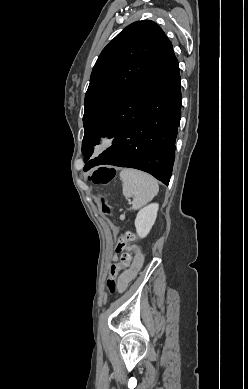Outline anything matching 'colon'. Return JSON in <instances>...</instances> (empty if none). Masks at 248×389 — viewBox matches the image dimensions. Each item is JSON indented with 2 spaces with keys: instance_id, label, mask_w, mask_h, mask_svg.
<instances>
[{
  "instance_id": "colon-1",
  "label": "colon",
  "mask_w": 248,
  "mask_h": 389,
  "mask_svg": "<svg viewBox=\"0 0 248 389\" xmlns=\"http://www.w3.org/2000/svg\"><path fill=\"white\" fill-rule=\"evenodd\" d=\"M115 177L114 171L106 167H100L95 170L90 176V180L98 185H109ZM136 236L132 232H127L124 237L118 242L116 250L122 251L124 246L129 243L135 241ZM132 260V254L128 252H123L121 254L120 262L117 264H113L110 268L109 277L107 280V289L110 293H113L116 289H118V284L116 281V277L118 273L124 269H126Z\"/></svg>"
}]
</instances>
